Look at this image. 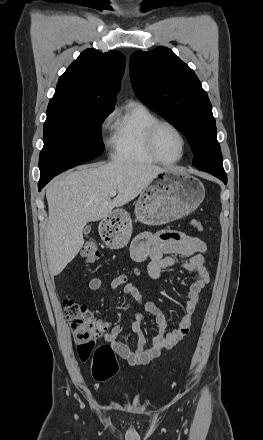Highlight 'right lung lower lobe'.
Segmentation results:
<instances>
[{
  "label": "right lung lower lobe",
  "mask_w": 263,
  "mask_h": 440,
  "mask_svg": "<svg viewBox=\"0 0 263 440\" xmlns=\"http://www.w3.org/2000/svg\"><path fill=\"white\" fill-rule=\"evenodd\" d=\"M53 177L48 178H40V181L38 183L39 191L52 179Z\"/></svg>",
  "instance_id": "obj_1"
}]
</instances>
